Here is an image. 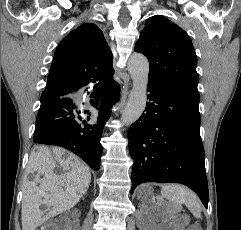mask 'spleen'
I'll return each mask as SVG.
<instances>
[{
  "mask_svg": "<svg viewBox=\"0 0 241 230\" xmlns=\"http://www.w3.org/2000/svg\"><path fill=\"white\" fill-rule=\"evenodd\" d=\"M161 194L170 202L185 204L195 217H200L201 204L199 198L186 187L178 184L165 185L162 187Z\"/></svg>",
  "mask_w": 241,
  "mask_h": 230,
  "instance_id": "obj_1",
  "label": "spleen"
}]
</instances>
